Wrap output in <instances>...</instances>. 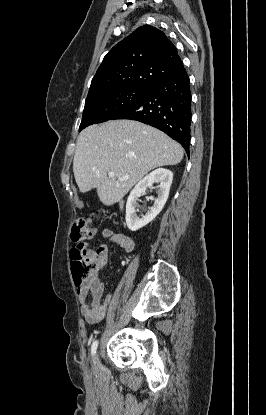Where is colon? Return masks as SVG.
<instances>
[{
	"label": "colon",
	"mask_w": 266,
	"mask_h": 415,
	"mask_svg": "<svg viewBox=\"0 0 266 415\" xmlns=\"http://www.w3.org/2000/svg\"><path fill=\"white\" fill-rule=\"evenodd\" d=\"M96 228L88 217L75 219L71 229V239L74 242L88 240L96 235ZM71 265L74 282L81 285L92 273L98 271V266L88 261L82 246L76 245L71 250Z\"/></svg>",
	"instance_id": "5ec220e1"
}]
</instances>
